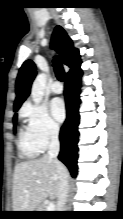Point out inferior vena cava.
I'll use <instances>...</instances> for the list:
<instances>
[{"mask_svg": "<svg viewBox=\"0 0 123 219\" xmlns=\"http://www.w3.org/2000/svg\"><path fill=\"white\" fill-rule=\"evenodd\" d=\"M58 135H59V128L58 127L52 128L51 137H50L51 141H50L47 157L55 162L57 172H58L59 188H58V194H57V199H58L57 201L58 210L57 211H64L63 209L67 202L69 186H68L67 169L57 159V156L60 151V143H59Z\"/></svg>", "mask_w": 123, "mask_h": 219, "instance_id": "602c4592", "label": "inferior vena cava"}]
</instances>
